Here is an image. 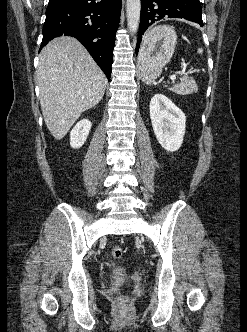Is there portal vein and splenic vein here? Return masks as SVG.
<instances>
[{
    "label": "portal vein and splenic vein",
    "mask_w": 247,
    "mask_h": 332,
    "mask_svg": "<svg viewBox=\"0 0 247 332\" xmlns=\"http://www.w3.org/2000/svg\"><path fill=\"white\" fill-rule=\"evenodd\" d=\"M184 74H186V72H185L184 69L181 70V71H179V72L177 73V75H184ZM175 79H176V75H173V76L171 77V80H172V81H175Z\"/></svg>",
    "instance_id": "1"
}]
</instances>
